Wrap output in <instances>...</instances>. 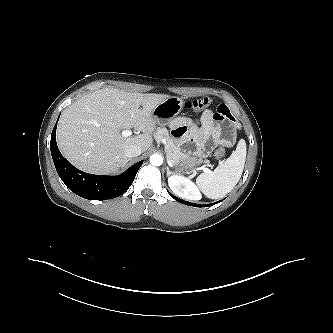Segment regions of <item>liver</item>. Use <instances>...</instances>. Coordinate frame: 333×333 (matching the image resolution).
<instances>
[{"instance_id": "6515ba94", "label": "liver", "mask_w": 333, "mask_h": 333, "mask_svg": "<svg viewBox=\"0 0 333 333\" xmlns=\"http://www.w3.org/2000/svg\"><path fill=\"white\" fill-rule=\"evenodd\" d=\"M167 97L170 96L115 88L86 94L69 106L59 120V149L85 172L114 173L126 164L125 147L137 145L143 151L151 147L156 129L152 110ZM131 128L143 133L123 137L121 131Z\"/></svg>"}]
</instances>
